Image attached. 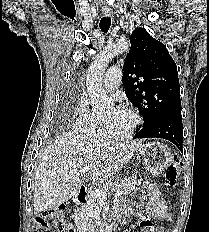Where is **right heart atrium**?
<instances>
[{"label":"right heart atrium","mask_w":209,"mask_h":232,"mask_svg":"<svg viewBox=\"0 0 209 232\" xmlns=\"http://www.w3.org/2000/svg\"><path fill=\"white\" fill-rule=\"evenodd\" d=\"M90 115L87 99L85 96H81L74 115L73 128L81 131Z\"/></svg>","instance_id":"obj_1"}]
</instances>
